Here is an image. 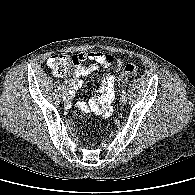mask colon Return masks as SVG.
Returning <instances> with one entry per match:
<instances>
[{
  "instance_id": "colon-1",
  "label": "colon",
  "mask_w": 195,
  "mask_h": 195,
  "mask_svg": "<svg viewBox=\"0 0 195 195\" xmlns=\"http://www.w3.org/2000/svg\"><path fill=\"white\" fill-rule=\"evenodd\" d=\"M72 59L64 54H55L48 60V65L55 75L62 77L69 73ZM137 74V69L133 64H127L123 68L121 80H125L128 76Z\"/></svg>"
}]
</instances>
